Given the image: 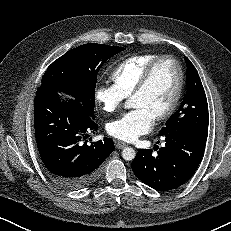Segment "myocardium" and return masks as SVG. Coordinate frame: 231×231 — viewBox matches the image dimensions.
Listing matches in <instances>:
<instances>
[{
	"mask_svg": "<svg viewBox=\"0 0 231 231\" xmlns=\"http://www.w3.org/2000/svg\"><path fill=\"white\" fill-rule=\"evenodd\" d=\"M163 60H170L175 65L177 74H178V81H177V86H176V90L173 95L172 101L170 102L169 106L163 112H161L155 117L157 121H162V120L169 118L175 112L176 108L179 105L180 99L182 97L183 90H184V84H185V74H184L183 67L181 63L179 62V60L176 59L172 55H168V54L159 55L146 67L137 86L135 87V89L133 90L131 94V98H132L145 90V88L147 87L150 81V78L152 76V73L155 67L158 65V63H160Z\"/></svg>",
	"mask_w": 231,
	"mask_h": 231,
	"instance_id": "obj_1",
	"label": "myocardium"
}]
</instances>
